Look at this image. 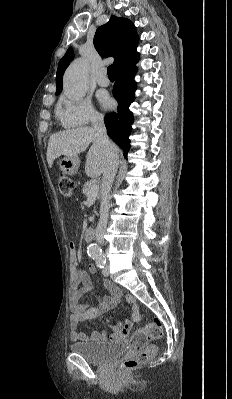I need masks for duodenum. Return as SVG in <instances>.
Returning <instances> with one entry per match:
<instances>
[{
    "label": "duodenum",
    "instance_id": "410a0bca",
    "mask_svg": "<svg viewBox=\"0 0 232 399\" xmlns=\"http://www.w3.org/2000/svg\"><path fill=\"white\" fill-rule=\"evenodd\" d=\"M85 239H86L88 242H92V241L95 239V229H94V228L88 227V228L85 230Z\"/></svg>",
    "mask_w": 232,
    "mask_h": 399
}]
</instances>
